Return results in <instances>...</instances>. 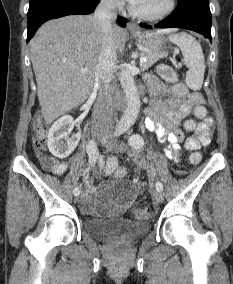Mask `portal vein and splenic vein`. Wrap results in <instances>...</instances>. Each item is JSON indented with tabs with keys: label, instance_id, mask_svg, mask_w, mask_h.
<instances>
[{
	"label": "portal vein and splenic vein",
	"instance_id": "1",
	"mask_svg": "<svg viewBox=\"0 0 233 284\" xmlns=\"http://www.w3.org/2000/svg\"><path fill=\"white\" fill-rule=\"evenodd\" d=\"M147 61L146 57H141L140 58V63H145ZM87 72V68H83L82 69V73H86Z\"/></svg>",
	"mask_w": 233,
	"mask_h": 284
}]
</instances>
